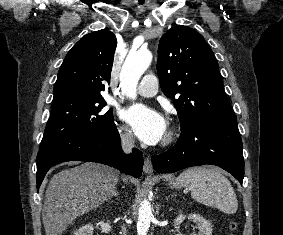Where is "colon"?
<instances>
[{
    "mask_svg": "<svg viewBox=\"0 0 283 235\" xmlns=\"http://www.w3.org/2000/svg\"><path fill=\"white\" fill-rule=\"evenodd\" d=\"M229 228H230V230H231V232H232L231 235H233V232H234V231L236 230V228H237L236 223H235V222H230Z\"/></svg>",
    "mask_w": 283,
    "mask_h": 235,
    "instance_id": "1",
    "label": "colon"
}]
</instances>
